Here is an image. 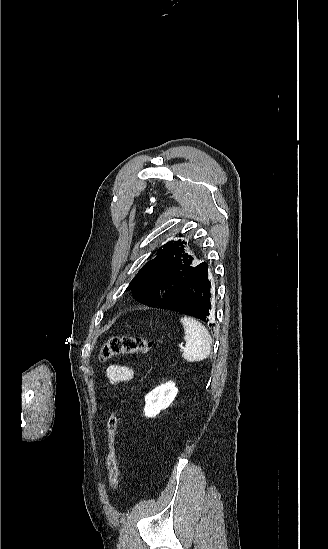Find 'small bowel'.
<instances>
[{
    "instance_id": "1",
    "label": "small bowel",
    "mask_w": 328,
    "mask_h": 549,
    "mask_svg": "<svg viewBox=\"0 0 328 549\" xmlns=\"http://www.w3.org/2000/svg\"><path fill=\"white\" fill-rule=\"evenodd\" d=\"M106 375L110 384L118 385L132 380L135 377V371L126 365L113 364L107 368Z\"/></svg>"
}]
</instances>
